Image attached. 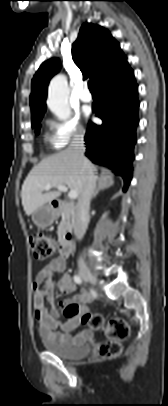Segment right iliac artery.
Segmentation results:
<instances>
[{
  "mask_svg": "<svg viewBox=\"0 0 168 406\" xmlns=\"http://www.w3.org/2000/svg\"><path fill=\"white\" fill-rule=\"evenodd\" d=\"M73 279L77 284H82V279L80 278V276L74 275Z\"/></svg>",
  "mask_w": 168,
  "mask_h": 406,
  "instance_id": "1",
  "label": "right iliac artery"
}]
</instances>
